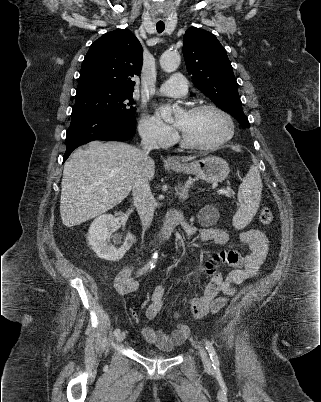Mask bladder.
<instances>
[{
    "instance_id": "obj_1",
    "label": "bladder",
    "mask_w": 321,
    "mask_h": 402,
    "mask_svg": "<svg viewBox=\"0 0 321 402\" xmlns=\"http://www.w3.org/2000/svg\"><path fill=\"white\" fill-rule=\"evenodd\" d=\"M147 354L152 357H161V358H166L171 355L170 353L158 351L156 349H148Z\"/></svg>"
}]
</instances>
